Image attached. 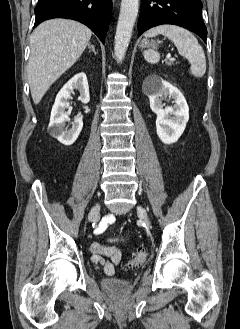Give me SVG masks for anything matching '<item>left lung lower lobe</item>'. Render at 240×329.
I'll return each instance as SVG.
<instances>
[{
	"instance_id": "1",
	"label": "left lung lower lobe",
	"mask_w": 240,
	"mask_h": 329,
	"mask_svg": "<svg viewBox=\"0 0 240 329\" xmlns=\"http://www.w3.org/2000/svg\"><path fill=\"white\" fill-rule=\"evenodd\" d=\"M162 24L186 28L206 42L207 29L202 20L201 0H143L138 20L139 36Z\"/></svg>"
}]
</instances>
